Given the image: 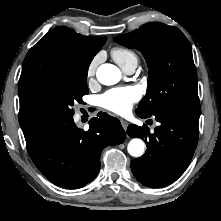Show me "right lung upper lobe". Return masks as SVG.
Masks as SVG:
<instances>
[{"instance_id": "1", "label": "right lung upper lobe", "mask_w": 221, "mask_h": 221, "mask_svg": "<svg viewBox=\"0 0 221 221\" xmlns=\"http://www.w3.org/2000/svg\"><path fill=\"white\" fill-rule=\"evenodd\" d=\"M106 42V37L83 36L65 26L48 32L27 53L18 84L19 123L24 122L23 97L51 74L71 67L83 58H92Z\"/></svg>"}]
</instances>
